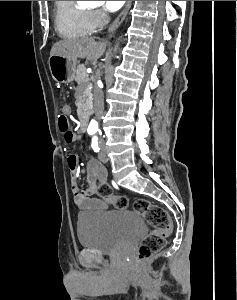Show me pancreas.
<instances>
[{
    "mask_svg": "<svg viewBox=\"0 0 237 300\" xmlns=\"http://www.w3.org/2000/svg\"><path fill=\"white\" fill-rule=\"evenodd\" d=\"M75 81L78 85H83V87H89L91 85L89 77H87L85 67H77L75 71ZM86 95L80 97L78 101H76L75 105L77 107V115L80 119H88L89 115H87V103H85Z\"/></svg>",
    "mask_w": 237,
    "mask_h": 300,
    "instance_id": "obj_1",
    "label": "pancreas"
}]
</instances>
